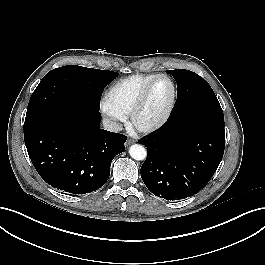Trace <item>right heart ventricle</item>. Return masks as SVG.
<instances>
[{"label": "right heart ventricle", "instance_id": "1", "mask_svg": "<svg viewBox=\"0 0 265 265\" xmlns=\"http://www.w3.org/2000/svg\"><path fill=\"white\" fill-rule=\"evenodd\" d=\"M156 74H137L118 80L106 93L105 104L123 117L129 116L144 87Z\"/></svg>", "mask_w": 265, "mask_h": 265}]
</instances>
